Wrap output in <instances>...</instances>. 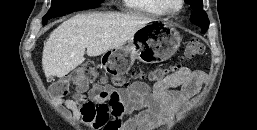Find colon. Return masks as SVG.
Returning <instances> with one entry per match:
<instances>
[{"label":"colon","instance_id":"obj_1","mask_svg":"<svg viewBox=\"0 0 257 130\" xmlns=\"http://www.w3.org/2000/svg\"><path fill=\"white\" fill-rule=\"evenodd\" d=\"M203 52L204 45L199 40L192 39L186 45L184 58L191 59L202 55ZM178 67L156 69L151 71L147 77L151 81H160L170 72H175ZM137 75L142 76L138 73ZM98 78L99 74L95 64L93 62H86L65 77L54 82L51 86L50 94L52 97H65L71 87H74L78 93H83ZM112 81L117 86H123L127 83V79L124 76H114ZM78 97L83 98L84 96L79 95Z\"/></svg>","mask_w":257,"mask_h":130}]
</instances>
